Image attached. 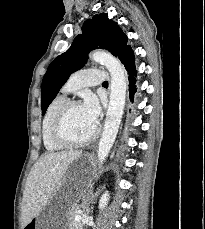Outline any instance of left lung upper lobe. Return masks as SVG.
<instances>
[{"label":"left lung upper lobe","mask_w":205,"mask_h":229,"mask_svg":"<svg viewBox=\"0 0 205 229\" xmlns=\"http://www.w3.org/2000/svg\"><path fill=\"white\" fill-rule=\"evenodd\" d=\"M127 46V36L117 23L108 19L106 13L85 21L82 34L76 36L66 52L51 62L44 75L41 86L42 115L68 77L85 65L91 50L106 49L118 57Z\"/></svg>","instance_id":"1"}]
</instances>
